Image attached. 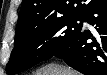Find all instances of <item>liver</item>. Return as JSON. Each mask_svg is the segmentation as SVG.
<instances>
[{"mask_svg": "<svg viewBox=\"0 0 107 75\" xmlns=\"http://www.w3.org/2000/svg\"><path fill=\"white\" fill-rule=\"evenodd\" d=\"M46 75H73V72L70 70L60 69V68H52Z\"/></svg>", "mask_w": 107, "mask_h": 75, "instance_id": "1", "label": "liver"}]
</instances>
